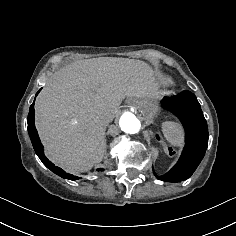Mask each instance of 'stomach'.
I'll return each instance as SVG.
<instances>
[{
  "instance_id": "0dacf381",
  "label": "stomach",
  "mask_w": 236,
  "mask_h": 236,
  "mask_svg": "<svg viewBox=\"0 0 236 236\" xmlns=\"http://www.w3.org/2000/svg\"><path fill=\"white\" fill-rule=\"evenodd\" d=\"M159 99H160V94L152 97L151 100L149 101L148 105L151 107H156L158 105Z\"/></svg>"
}]
</instances>
